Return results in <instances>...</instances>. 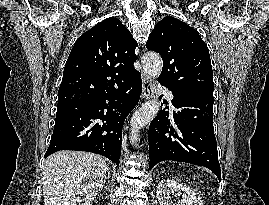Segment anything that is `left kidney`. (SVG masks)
I'll use <instances>...</instances> for the list:
<instances>
[{
    "mask_svg": "<svg viewBox=\"0 0 269 205\" xmlns=\"http://www.w3.org/2000/svg\"><path fill=\"white\" fill-rule=\"evenodd\" d=\"M183 193L178 205H203L201 199L188 186L174 180H162L157 186V198L160 205H171L170 194Z\"/></svg>",
    "mask_w": 269,
    "mask_h": 205,
    "instance_id": "5707ae66",
    "label": "left kidney"
}]
</instances>
